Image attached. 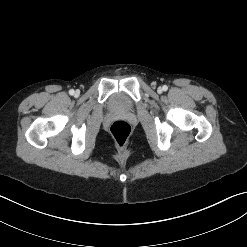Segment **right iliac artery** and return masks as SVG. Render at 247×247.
Returning a JSON list of instances; mask_svg holds the SVG:
<instances>
[{
  "label": "right iliac artery",
  "instance_id": "right-iliac-artery-1",
  "mask_svg": "<svg viewBox=\"0 0 247 247\" xmlns=\"http://www.w3.org/2000/svg\"><path fill=\"white\" fill-rule=\"evenodd\" d=\"M69 94L73 95L74 94V90L73 89L69 90Z\"/></svg>",
  "mask_w": 247,
  "mask_h": 247
}]
</instances>
